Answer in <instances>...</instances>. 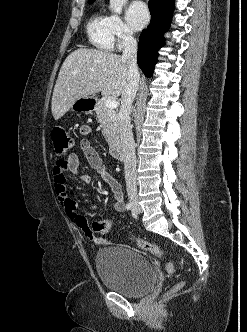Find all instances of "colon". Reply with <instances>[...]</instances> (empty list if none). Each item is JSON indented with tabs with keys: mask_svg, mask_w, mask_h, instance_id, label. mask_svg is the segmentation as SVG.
<instances>
[{
	"mask_svg": "<svg viewBox=\"0 0 247 332\" xmlns=\"http://www.w3.org/2000/svg\"><path fill=\"white\" fill-rule=\"evenodd\" d=\"M52 141L54 144V150L59 156L69 154L74 148L73 138L63 128H55L52 131ZM92 229L102 234H108L115 229V225L109 220H97L93 222ZM131 239L139 249L150 252L158 257H165V251L156 244L135 237H132ZM166 270L169 274H174L177 270L174 262L168 261L166 264ZM182 287L183 282L180 281L172 287L171 292H175Z\"/></svg>",
	"mask_w": 247,
	"mask_h": 332,
	"instance_id": "obj_1",
	"label": "colon"
}]
</instances>
